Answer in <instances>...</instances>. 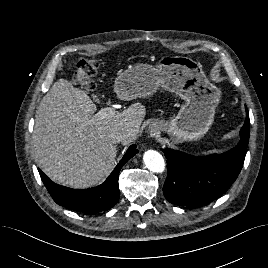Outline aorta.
Wrapping results in <instances>:
<instances>
[{
	"label": "aorta",
	"mask_w": 268,
	"mask_h": 268,
	"mask_svg": "<svg viewBox=\"0 0 268 268\" xmlns=\"http://www.w3.org/2000/svg\"><path fill=\"white\" fill-rule=\"evenodd\" d=\"M146 168L155 173H162L165 169V161L162 155L155 150H148L143 155Z\"/></svg>",
	"instance_id": "obj_1"
}]
</instances>
